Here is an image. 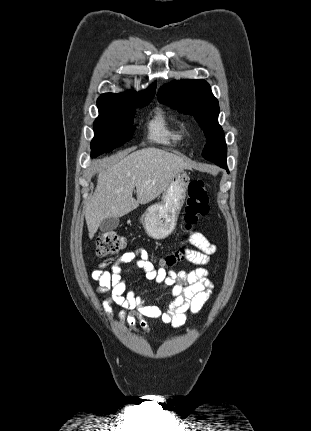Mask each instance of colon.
Segmentation results:
<instances>
[{
	"mask_svg": "<svg viewBox=\"0 0 311 431\" xmlns=\"http://www.w3.org/2000/svg\"><path fill=\"white\" fill-rule=\"evenodd\" d=\"M209 211V195L206 183L201 178H195L188 183L187 203L184 214L185 229L190 231ZM127 246L126 239L119 233L109 231L101 234L96 243V254L106 257L115 254ZM187 246L182 244L175 252L161 258L160 263L172 267L184 259Z\"/></svg>",
	"mask_w": 311,
	"mask_h": 431,
	"instance_id": "colon-1",
	"label": "colon"
}]
</instances>
